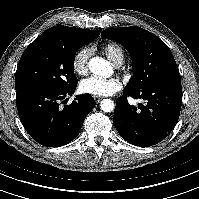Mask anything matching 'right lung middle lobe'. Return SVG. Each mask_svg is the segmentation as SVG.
I'll use <instances>...</instances> for the list:
<instances>
[{
  "mask_svg": "<svg viewBox=\"0 0 199 199\" xmlns=\"http://www.w3.org/2000/svg\"><path fill=\"white\" fill-rule=\"evenodd\" d=\"M88 40L61 41L40 35L23 52L15 76V89L66 90L77 85L76 52Z\"/></svg>",
  "mask_w": 199,
  "mask_h": 199,
  "instance_id": "dd1d6c3e",
  "label": "right lung middle lobe"
}]
</instances>
